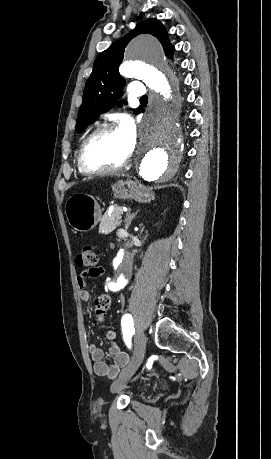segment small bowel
<instances>
[{"instance_id": "obj_1", "label": "small bowel", "mask_w": 271, "mask_h": 459, "mask_svg": "<svg viewBox=\"0 0 271 459\" xmlns=\"http://www.w3.org/2000/svg\"><path fill=\"white\" fill-rule=\"evenodd\" d=\"M103 273L104 270L102 268L96 267L86 270L79 275L77 284L79 289V298L82 302L86 303L90 298L89 292L87 290L89 279L98 278L102 276ZM106 337L109 342V353L113 356V361L111 363L105 361V354L103 349L97 346L95 343H90L88 345V351L91 359L94 362V372L98 376L115 379L119 375L122 368L128 364L129 357L120 349L117 343V336L114 331L109 330L106 333Z\"/></svg>"}]
</instances>
